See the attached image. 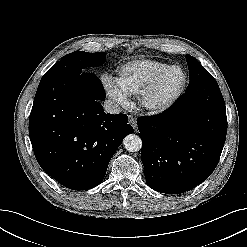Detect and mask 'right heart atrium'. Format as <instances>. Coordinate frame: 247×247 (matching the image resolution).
Here are the masks:
<instances>
[{"label": "right heart atrium", "instance_id": "right-heart-atrium-1", "mask_svg": "<svg viewBox=\"0 0 247 247\" xmlns=\"http://www.w3.org/2000/svg\"><path fill=\"white\" fill-rule=\"evenodd\" d=\"M103 86L107 94L114 99L119 105L126 106L128 103V99L126 94H124L116 85L115 82L111 81L108 78H103L102 80Z\"/></svg>", "mask_w": 247, "mask_h": 247}]
</instances>
